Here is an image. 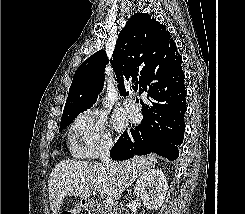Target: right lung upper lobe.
<instances>
[{"instance_id": "cb5924a9", "label": "right lung upper lobe", "mask_w": 245, "mask_h": 214, "mask_svg": "<svg viewBox=\"0 0 245 214\" xmlns=\"http://www.w3.org/2000/svg\"><path fill=\"white\" fill-rule=\"evenodd\" d=\"M110 62L122 96L127 94L125 80L131 79L142 93L149 74L159 67H168L175 77L184 76L182 59L169 31L148 13H137L127 21L118 35ZM107 63L105 51L99 50L78 67L63 114L92 107L103 88Z\"/></svg>"}]
</instances>
